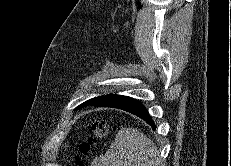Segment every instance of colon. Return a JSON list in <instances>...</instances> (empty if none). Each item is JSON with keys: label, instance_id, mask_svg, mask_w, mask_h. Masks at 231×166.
<instances>
[{"label": "colon", "instance_id": "obj_1", "mask_svg": "<svg viewBox=\"0 0 231 166\" xmlns=\"http://www.w3.org/2000/svg\"><path fill=\"white\" fill-rule=\"evenodd\" d=\"M107 134V125L104 121H97L93 127L92 137L85 143L81 145V152L86 154L90 150V146L95 143L97 140L102 139ZM79 162V161H78Z\"/></svg>", "mask_w": 231, "mask_h": 166}]
</instances>
